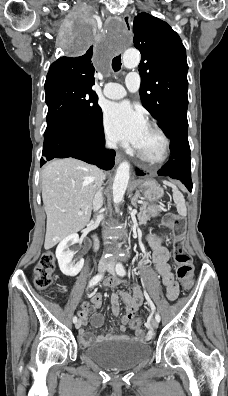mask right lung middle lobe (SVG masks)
<instances>
[{"mask_svg": "<svg viewBox=\"0 0 228 396\" xmlns=\"http://www.w3.org/2000/svg\"><path fill=\"white\" fill-rule=\"evenodd\" d=\"M93 41L90 28L78 30L73 42V50L84 51ZM45 102L48 106L47 128L56 124H66L77 128H94L99 124L102 110L98 96L92 87L68 78L46 79Z\"/></svg>", "mask_w": 228, "mask_h": 396, "instance_id": "obj_1", "label": "right lung middle lobe"}]
</instances>
